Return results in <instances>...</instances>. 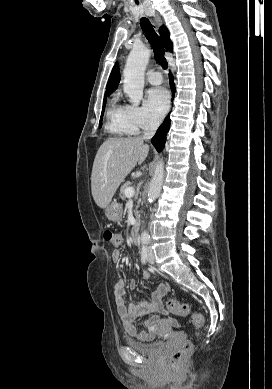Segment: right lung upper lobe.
Returning <instances> with one entry per match:
<instances>
[{"instance_id":"1","label":"right lung upper lobe","mask_w":272,"mask_h":389,"mask_svg":"<svg viewBox=\"0 0 272 389\" xmlns=\"http://www.w3.org/2000/svg\"><path fill=\"white\" fill-rule=\"evenodd\" d=\"M159 33H160V36H161V42L164 45L165 49L168 50V51H172L173 44H172V41L169 38V32L166 29V27L162 26L159 29ZM119 82H120L119 65L116 62L114 67H113V69H112V72L110 74V77H109V80H108V83H107V86H106L105 95H108V94H111L112 92H114L116 90L117 85H118Z\"/></svg>"}]
</instances>
